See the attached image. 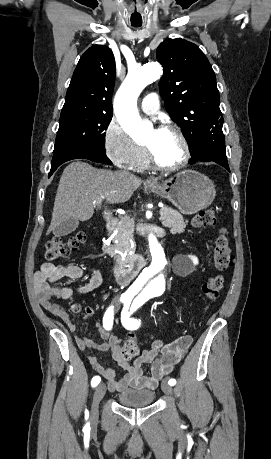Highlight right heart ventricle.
I'll list each match as a JSON object with an SVG mask.
<instances>
[{"mask_svg":"<svg viewBox=\"0 0 271 459\" xmlns=\"http://www.w3.org/2000/svg\"><path fill=\"white\" fill-rule=\"evenodd\" d=\"M149 166H150V161H149V159L147 157V153H146V155H144L142 158L137 160L132 165V168L135 169V170H138V171H142V170L147 169Z\"/></svg>","mask_w":271,"mask_h":459,"instance_id":"obj_1","label":"right heart ventricle"}]
</instances>
